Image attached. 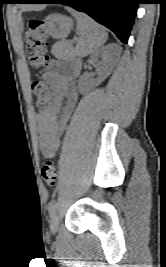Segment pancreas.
Here are the masks:
<instances>
[{
	"mask_svg": "<svg viewBox=\"0 0 166 267\" xmlns=\"http://www.w3.org/2000/svg\"><path fill=\"white\" fill-rule=\"evenodd\" d=\"M52 54L59 59H70L74 57V50L69 43L57 42L52 47Z\"/></svg>",
	"mask_w": 166,
	"mask_h": 267,
	"instance_id": "cf45deb5",
	"label": "pancreas"
}]
</instances>
